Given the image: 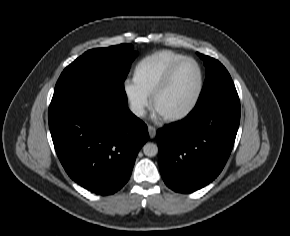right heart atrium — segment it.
<instances>
[{"label": "right heart atrium", "instance_id": "obj_1", "mask_svg": "<svg viewBox=\"0 0 290 236\" xmlns=\"http://www.w3.org/2000/svg\"><path fill=\"white\" fill-rule=\"evenodd\" d=\"M124 91L132 113L136 116L143 115L148 105V95L130 80L125 82Z\"/></svg>", "mask_w": 290, "mask_h": 236}]
</instances>
